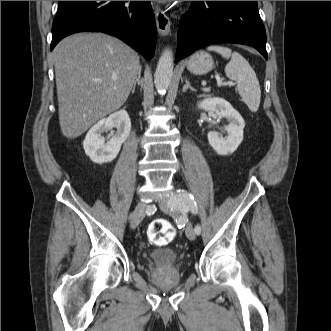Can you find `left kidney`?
<instances>
[{
  "label": "left kidney",
  "mask_w": 331,
  "mask_h": 331,
  "mask_svg": "<svg viewBox=\"0 0 331 331\" xmlns=\"http://www.w3.org/2000/svg\"><path fill=\"white\" fill-rule=\"evenodd\" d=\"M198 108L214 112L220 118H226L229 124L226 126L228 135L220 137L215 131L208 133V141L219 155L233 153L243 140L245 122L242 116L223 98L209 97L198 103Z\"/></svg>",
  "instance_id": "left-kidney-1"
}]
</instances>
